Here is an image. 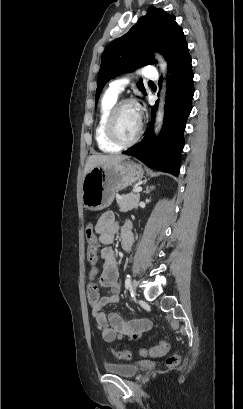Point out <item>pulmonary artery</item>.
<instances>
[{
	"label": "pulmonary artery",
	"instance_id": "e3ab8cb5",
	"mask_svg": "<svg viewBox=\"0 0 243 409\" xmlns=\"http://www.w3.org/2000/svg\"><path fill=\"white\" fill-rule=\"evenodd\" d=\"M152 68H153V66H152ZM139 74L145 79H150V80H157L158 79V73H157V71L155 69L145 68V69L141 70ZM129 80H130V76H124V77H121L119 79L113 80V81H111L109 83L108 90L111 91L114 94L119 95L124 91V89H125L126 85L128 84Z\"/></svg>",
	"mask_w": 243,
	"mask_h": 409
}]
</instances>
